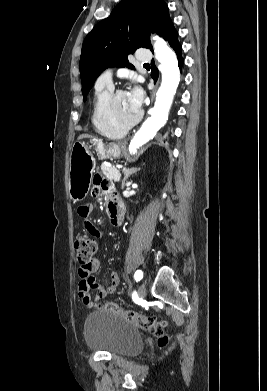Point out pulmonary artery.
Segmentation results:
<instances>
[{"instance_id": "obj_1", "label": "pulmonary artery", "mask_w": 267, "mask_h": 391, "mask_svg": "<svg viewBox=\"0 0 267 391\" xmlns=\"http://www.w3.org/2000/svg\"><path fill=\"white\" fill-rule=\"evenodd\" d=\"M138 60L141 62H148L151 59V53L147 49H141L137 56ZM96 87H108L113 88L112 84V70L107 69L105 70L97 79L96 81Z\"/></svg>"}]
</instances>
